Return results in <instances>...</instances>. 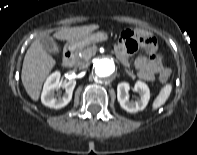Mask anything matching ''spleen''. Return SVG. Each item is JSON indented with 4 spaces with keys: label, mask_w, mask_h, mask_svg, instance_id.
Wrapping results in <instances>:
<instances>
[{
    "label": "spleen",
    "mask_w": 197,
    "mask_h": 155,
    "mask_svg": "<svg viewBox=\"0 0 197 155\" xmlns=\"http://www.w3.org/2000/svg\"><path fill=\"white\" fill-rule=\"evenodd\" d=\"M172 91V85L166 84L159 92L155 100L152 104V109H157L163 104H165L166 100L169 98Z\"/></svg>",
    "instance_id": "3e777b00"
}]
</instances>
